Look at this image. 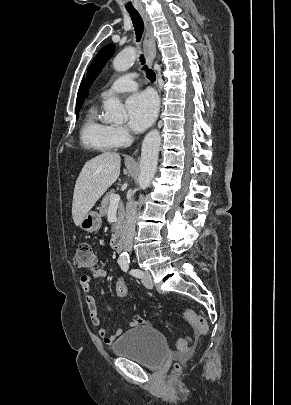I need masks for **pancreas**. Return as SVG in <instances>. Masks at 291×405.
Returning a JSON list of instances; mask_svg holds the SVG:
<instances>
[{"instance_id":"1","label":"pancreas","mask_w":291,"mask_h":405,"mask_svg":"<svg viewBox=\"0 0 291 405\" xmlns=\"http://www.w3.org/2000/svg\"><path fill=\"white\" fill-rule=\"evenodd\" d=\"M113 194H114V191H113V190H110V191L104 196V198L102 199L99 212H100V215L103 216V217L107 216L108 209H109V206H110V198H111V196H112ZM123 219H124V205H123V203H120L119 206H118V218H117V222L114 223V224L112 225V228H111V231H112L113 233L116 234V233L119 231V229H120V227H121V225H122Z\"/></svg>"}]
</instances>
